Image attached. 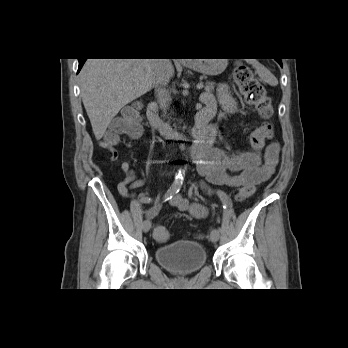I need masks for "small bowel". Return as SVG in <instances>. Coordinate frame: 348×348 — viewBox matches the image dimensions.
<instances>
[{
	"mask_svg": "<svg viewBox=\"0 0 348 348\" xmlns=\"http://www.w3.org/2000/svg\"><path fill=\"white\" fill-rule=\"evenodd\" d=\"M219 99L227 111H233L235 107L228 87L221 84L218 87ZM203 107L216 106L215 98L210 93H203L201 96ZM211 135L217 133V125H210ZM139 136V134L137 135ZM135 136V137H137ZM193 155L197 160L198 173L204 178V184L226 185L229 187H241L243 185H257L268 180L274 173L278 164L279 145L276 142L270 143L263 154L257 152H241L229 154L222 149L198 150L193 149ZM123 178L118 184L119 192L126 197H133L131 191L142 187L145 184L143 179H138L135 171L128 162L121 164ZM140 201L148 202V198L141 197ZM168 204L180 210L188 211L195 218H203L207 215V209L196 203H189L179 195H173ZM164 204L155 203L147 212V218H154L158 215Z\"/></svg>",
	"mask_w": 348,
	"mask_h": 348,
	"instance_id": "c3829d8e",
	"label": "small bowel"
}]
</instances>
